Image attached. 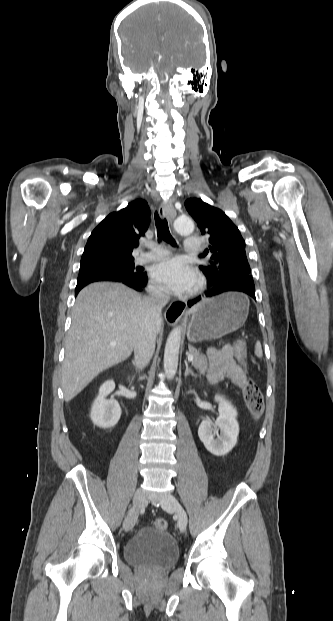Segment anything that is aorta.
Listing matches in <instances>:
<instances>
[{
    "label": "aorta",
    "mask_w": 333,
    "mask_h": 621,
    "mask_svg": "<svg viewBox=\"0 0 333 621\" xmlns=\"http://www.w3.org/2000/svg\"><path fill=\"white\" fill-rule=\"evenodd\" d=\"M174 228L181 235H190L194 231V223L190 218L178 217ZM180 341L181 329L176 327L170 332L164 350V371L168 379L175 375L178 368Z\"/></svg>",
    "instance_id": "1"
}]
</instances>
